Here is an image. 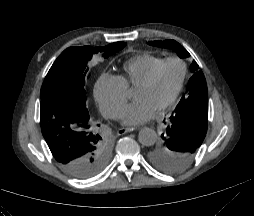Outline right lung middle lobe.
<instances>
[{
	"mask_svg": "<svg viewBox=\"0 0 254 216\" xmlns=\"http://www.w3.org/2000/svg\"><path fill=\"white\" fill-rule=\"evenodd\" d=\"M126 46L124 42H116L105 47L90 46L70 47L64 50L55 60L43 82L40 97L41 99L53 94L65 95L81 105H85L86 92L84 90L86 74L89 70V62L95 57L107 58ZM92 132L100 141L98 155L99 172L106 165L110 157V144L102 134L98 133L96 127ZM78 167L72 169V172Z\"/></svg>",
	"mask_w": 254,
	"mask_h": 216,
	"instance_id": "obj_1",
	"label": "right lung middle lobe"
}]
</instances>
